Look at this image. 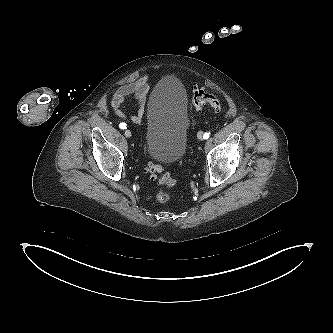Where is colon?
Instances as JSON below:
<instances>
[{
	"instance_id": "colon-1",
	"label": "colon",
	"mask_w": 333,
	"mask_h": 333,
	"mask_svg": "<svg viewBox=\"0 0 333 333\" xmlns=\"http://www.w3.org/2000/svg\"><path fill=\"white\" fill-rule=\"evenodd\" d=\"M192 104L195 110L203 107H210L219 111L222 107L221 101L213 94L203 88L195 87L192 91ZM146 171L152 180H157L160 187L157 192V199L160 202H167L171 197V189L175 185V179L160 165L149 162Z\"/></svg>"
}]
</instances>
